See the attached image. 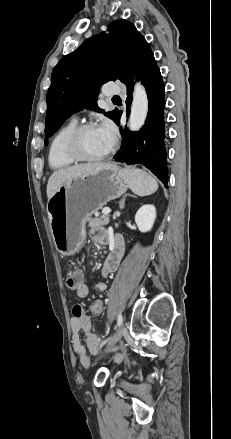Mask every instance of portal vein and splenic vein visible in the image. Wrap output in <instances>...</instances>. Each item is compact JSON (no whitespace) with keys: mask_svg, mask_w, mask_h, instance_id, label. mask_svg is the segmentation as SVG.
<instances>
[{"mask_svg":"<svg viewBox=\"0 0 231 439\" xmlns=\"http://www.w3.org/2000/svg\"><path fill=\"white\" fill-rule=\"evenodd\" d=\"M110 212H111V209H110V208H104V209L102 210V214H103V215H108Z\"/></svg>","mask_w":231,"mask_h":439,"instance_id":"1","label":"portal vein and splenic vein"}]
</instances>
